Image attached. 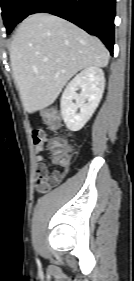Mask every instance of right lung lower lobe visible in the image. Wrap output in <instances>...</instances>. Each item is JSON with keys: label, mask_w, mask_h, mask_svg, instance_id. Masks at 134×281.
Segmentation results:
<instances>
[{"label": "right lung lower lobe", "mask_w": 134, "mask_h": 281, "mask_svg": "<svg viewBox=\"0 0 134 281\" xmlns=\"http://www.w3.org/2000/svg\"><path fill=\"white\" fill-rule=\"evenodd\" d=\"M37 12L50 13L76 24L99 37L113 54L115 0H33L23 18Z\"/></svg>", "instance_id": "right-lung-lower-lobe-1"}]
</instances>
